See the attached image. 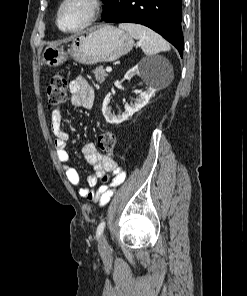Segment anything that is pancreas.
Listing matches in <instances>:
<instances>
[{
  "mask_svg": "<svg viewBox=\"0 0 247 296\" xmlns=\"http://www.w3.org/2000/svg\"><path fill=\"white\" fill-rule=\"evenodd\" d=\"M93 73H94L95 79L98 83H103L105 81L106 76L108 75V73L104 70V68L102 66L97 67L93 71Z\"/></svg>",
  "mask_w": 247,
  "mask_h": 296,
  "instance_id": "pancreas-1",
  "label": "pancreas"
}]
</instances>
